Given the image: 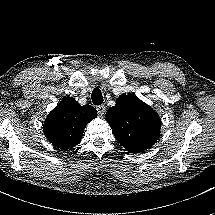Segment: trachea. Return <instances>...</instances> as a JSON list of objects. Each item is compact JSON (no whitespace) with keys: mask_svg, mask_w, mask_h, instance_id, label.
I'll return each mask as SVG.
<instances>
[{"mask_svg":"<svg viewBox=\"0 0 215 215\" xmlns=\"http://www.w3.org/2000/svg\"><path fill=\"white\" fill-rule=\"evenodd\" d=\"M91 98H92V102L95 104V105H100L102 104L103 102V96H102V93H101V90L96 87L93 92H92V95H91Z\"/></svg>","mask_w":215,"mask_h":215,"instance_id":"1","label":"trachea"}]
</instances>
